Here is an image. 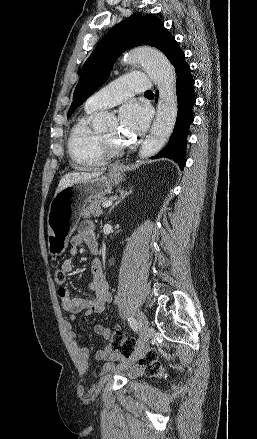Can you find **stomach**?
Returning <instances> with one entry per match:
<instances>
[{
  "label": "stomach",
  "instance_id": "obj_1",
  "mask_svg": "<svg viewBox=\"0 0 257 439\" xmlns=\"http://www.w3.org/2000/svg\"><path fill=\"white\" fill-rule=\"evenodd\" d=\"M122 179L120 171L111 170L107 177L74 183L55 194L47 218L50 255L59 256L64 253L86 204L109 193L112 186Z\"/></svg>",
  "mask_w": 257,
  "mask_h": 439
}]
</instances>
